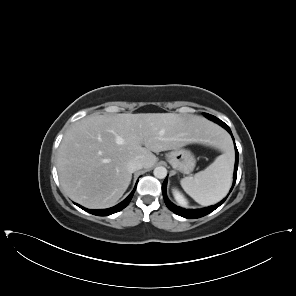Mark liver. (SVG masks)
<instances>
[{
  "label": "liver",
  "mask_w": 296,
  "mask_h": 296,
  "mask_svg": "<svg viewBox=\"0 0 296 296\" xmlns=\"http://www.w3.org/2000/svg\"><path fill=\"white\" fill-rule=\"evenodd\" d=\"M219 134L216 125L190 114L87 116L69 128L59 146L60 185L70 199L84 207H111L131 182L129 161L138 159L144 168H150L157 161L152 152L192 143L214 145Z\"/></svg>",
  "instance_id": "1"
}]
</instances>
